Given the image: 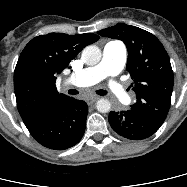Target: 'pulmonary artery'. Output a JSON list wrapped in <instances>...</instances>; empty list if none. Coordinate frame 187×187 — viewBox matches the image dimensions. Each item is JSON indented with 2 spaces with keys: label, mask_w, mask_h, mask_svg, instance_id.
<instances>
[{
  "label": "pulmonary artery",
  "mask_w": 187,
  "mask_h": 187,
  "mask_svg": "<svg viewBox=\"0 0 187 187\" xmlns=\"http://www.w3.org/2000/svg\"><path fill=\"white\" fill-rule=\"evenodd\" d=\"M126 62V47L120 41H110L103 48L101 61L92 67H87L82 71L73 74L67 84L78 87L93 85L104 78L115 77L123 69ZM108 87L112 93L120 100L128 97L126 91L120 83L110 80Z\"/></svg>",
  "instance_id": "e3ab8cb5"
}]
</instances>
